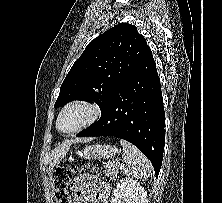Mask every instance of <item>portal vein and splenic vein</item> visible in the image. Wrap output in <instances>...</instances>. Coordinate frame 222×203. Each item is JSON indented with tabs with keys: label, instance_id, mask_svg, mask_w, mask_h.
Wrapping results in <instances>:
<instances>
[{
	"label": "portal vein and splenic vein",
	"instance_id": "obj_1",
	"mask_svg": "<svg viewBox=\"0 0 222 203\" xmlns=\"http://www.w3.org/2000/svg\"><path fill=\"white\" fill-rule=\"evenodd\" d=\"M116 164L119 166V165H120V162H119V161H116Z\"/></svg>",
	"mask_w": 222,
	"mask_h": 203
}]
</instances>
